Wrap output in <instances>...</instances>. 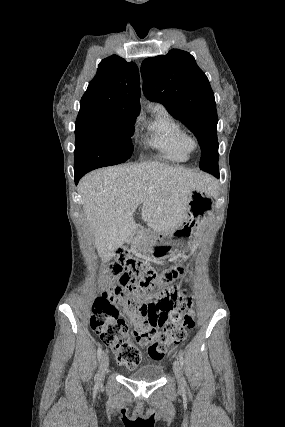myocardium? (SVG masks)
Wrapping results in <instances>:
<instances>
[{
  "label": "myocardium",
  "instance_id": "f54148a6",
  "mask_svg": "<svg viewBox=\"0 0 285 427\" xmlns=\"http://www.w3.org/2000/svg\"><path fill=\"white\" fill-rule=\"evenodd\" d=\"M184 142L190 150H194L198 146V140L193 134L185 133Z\"/></svg>",
  "mask_w": 285,
  "mask_h": 427
}]
</instances>
